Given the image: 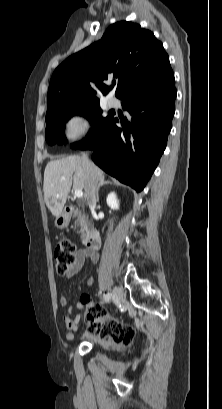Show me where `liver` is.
<instances>
[{
	"instance_id": "1",
	"label": "liver",
	"mask_w": 222,
	"mask_h": 409,
	"mask_svg": "<svg viewBox=\"0 0 222 409\" xmlns=\"http://www.w3.org/2000/svg\"><path fill=\"white\" fill-rule=\"evenodd\" d=\"M93 166L99 179L104 177L103 171ZM71 186L74 190H85L86 172L81 157L72 155L50 161L44 171L43 190L45 203L54 216L62 212Z\"/></svg>"
}]
</instances>
